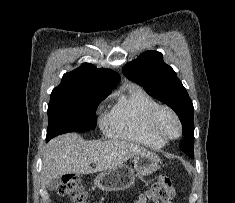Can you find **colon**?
Wrapping results in <instances>:
<instances>
[{
    "label": "colon",
    "mask_w": 235,
    "mask_h": 203,
    "mask_svg": "<svg viewBox=\"0 0 235 203\" xmlns=\"http://www.w3.org/2000/svg\"><path fill=\"white\" fill-rule=\"evenodd\" d=\"M61 196H68L74 203H86V193L76 175H65L57 188ZM175 195L174 184L170 177L160 176L135 201V203H170Z\"/></svg>",
    "instance_id": "1"
}]
</instances>
